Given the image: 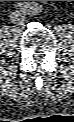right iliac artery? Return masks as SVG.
<instances>
[{"mask_svg": "<svg viewBox=\"0 0 74 122\" xmlns=\"http://www.w3.org/2000/svg\"><path fill=\"white\" fill-rule=\"evenodd\" d=\"M15 7L20 8V9H25L26 5L24 3H17Z\"/></svg>", "mask_w": 74, "mask_h": 122, "instance_id": "obj_1", "label": "right iliac artery"}]
</instances>
